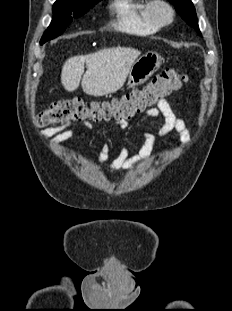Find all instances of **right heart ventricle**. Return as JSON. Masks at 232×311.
Instances as JSON below:
<instances>
[{
	"label": "right heart ventricle",
	"mask_w": 232,
	"mask_h": 311,
	"mask_svg": "<svg viewBox=\"0 0 232 311\" xmlns=\"http://www.w3.org/2000/svg\"><path fill=\"white\" fill-rule=\"evenodd\" d=\"M147 0H113L110 10L114 16V25L120 31L146 36L158 32L146 12Z\"/></svg>",
	"instance_id": "1"
}]
</instances>
